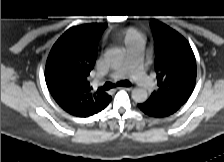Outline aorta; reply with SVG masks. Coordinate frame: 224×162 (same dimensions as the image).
<instances>
[{
    "label": "aorta",
    "mask_w": 224,
    "mask_h": 162,
    "mask_svg": "<svg viewBox=\"0 0 224 162\" xmlns=\"http://www.w3.org/2000/svg\"><path fill=\"white\" fill-rule=\"evenodd\" d=\"M123 57L124 53L120 49L111 50L106 54V60L112 66L120 64ZM131 97L136 103H144L148 99V93L143 88H135L132 90Z\"/></svg>",
    "instance_id": "762f6f07"
}]
</instances>
